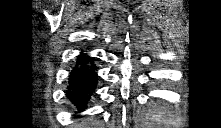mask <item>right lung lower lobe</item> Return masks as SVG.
Instances as JSON below:
<instances>
[{
	"instance_id": "98d812e1",
	"label": "right lung lower lobe",
	"mask_w": 221,
	"mask_h": 128,
	"mask_svg": "<svg viewBox=\"0 0 221 128\" xmlns=\"http://www.w3.org/2000/svg\"><path fill=\"white\" fill-rule=\"evenodd\" d=\"M89 60L91 61L90 66L87 65ZM95 69L92 59L82 53L78 56L77 64L70 73L66 95L79 111L84 110L95 89L97 82Z\"/></svg>"
}]
</instances>
